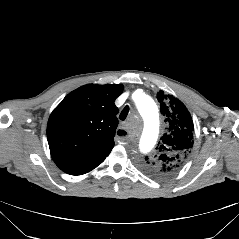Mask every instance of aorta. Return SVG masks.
Returning <instances> with one entry per match:
<instances>
[{"label": "aorta", "mask_w": 239, "mask_h": 239, "mask_svg": "<svg viewBox=\"0 0 239 239\" xmlns=\"http://www.w3.org/2000/svg\"><path fill=\"white\" fill-rule=\"evenodd\" d=\"M135 105L139 115L146 122V131L139 137V149L142 153H148L152 151L158 140L156 135L159 130L157 125L159 121L158 108L153 99L142 92L135 98Z\"/></svg>", "instance_id": "aorta-1"}]
</instances>
